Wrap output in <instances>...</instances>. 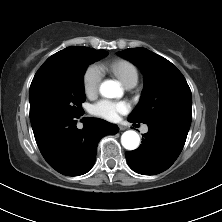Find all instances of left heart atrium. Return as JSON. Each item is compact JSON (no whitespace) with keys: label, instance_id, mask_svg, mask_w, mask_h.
Wrapping results in <instances>:
<instances>
[{"label":"left heart atrium","instance_id":"39dd6f15","mask_svg":"<svg viewBox=\"0 0 222 222\" xmlns=\"http://www.w3.org/2000/svg\"><path fill=\"white\" fill-rule=\"evenodd\" d=\"M129 110L130 104L127 101H113L109 99H102L92 107L93 114L109 121L118 120L120 115L126 114Z\"/></svg>","mask_w":222,"mask_h":222}]
</instances>
